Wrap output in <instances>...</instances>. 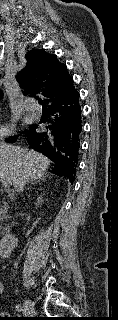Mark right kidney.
<instances>
[{
  "label": "right kidney",
  "mask_w": 118,
  "mask_h": 320,
  "mask_svg": "<svg viewBox=\"0 0 118 320\" xmlns=\"http://www.w3.org/2000/svg\"><path fill=\"white\" fill-rule=\"evenodd\" d=\"M43 198H42V196H39L38 198H37V203H36V205H41L42 203H43Z\"/></svg>",
  "instance_id": "obj_1"
}]
</instances>
